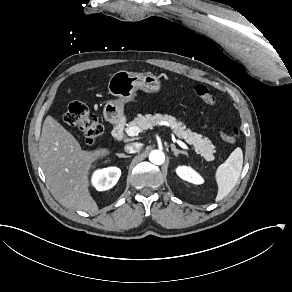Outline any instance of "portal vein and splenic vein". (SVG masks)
<instances>
[{
    "label": "portal vein and splenic vein",
    "instance_id": "obj_1",
    "mask_svg": "<svg viewBox=\"0 0 292 292\" xmlns=\"http://www.w3.org/2000/svg\"><path fill=\"white\" fill-rule=\"evenodd\" d=\"M139 133H140V129H138L137 127H131V128L126 129V134L129 137H134L138 135ZM179 145L181 148L185 150H190V148L183 142H179Z\"/></svg>",
    "mask_w": 292,
    "mask_h": 292
}]
</instances>
